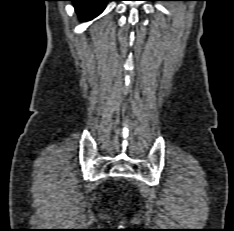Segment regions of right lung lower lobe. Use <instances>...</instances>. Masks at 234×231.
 I'll return each mask as SVG.
<instances>
[{
  "instance_id": "obj_1",
  "label": "right lung lower lobe",
  "mask_w": 234,
  "mask_h": 231,
  "mask_svg": "<svg viewBox=\"0 0 234 231\" xmlns=\"http://www.w3.org/2000/svg\"><path fill=\"white\" fill-rule=\"evenodd\" d=\"M72 1L75 10L81 20L87 21L98 16L105 8L107 1L110 0H69Z\"/></svg>"
}]
</instances>
